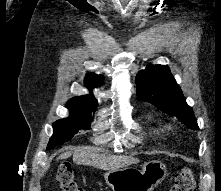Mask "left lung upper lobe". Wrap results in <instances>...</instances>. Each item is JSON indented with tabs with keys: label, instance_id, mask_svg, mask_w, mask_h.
I'll return each mask as SVG.
<instances>
[{
	"label": "left lung upper lobe",
	"instance_id": "obj_1",
	"mask_svg": "<svg viewBox=\"0 0 221 191\" xmlns=\"http://www.w3.org/2000/svg\"><path fill=\"white\" fill-rule=\"evenodd\" d=\"M138 98L157 106L162 111L176 116L191 129H197L193 110L186 103L181 88L166 65H149L136 77Z\"/></svg>",
	"mask_w": 221,
	"mask_h": 191
}]
</instances>
